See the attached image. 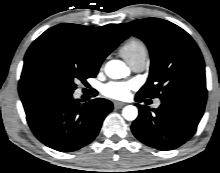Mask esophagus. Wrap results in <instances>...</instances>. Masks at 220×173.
Instances as JSON below:
<instances>
[{
	"label": "esophagus",
	"instance_id": "obj_1",
	"mask_svg": "<svg viewBox=\"0 0 220 173\" xmlns=\"http://www.w3.org/2000/svg\"><path fill=\"white\" fill-rule=\"evenodd\" d=\"M124 105H125V103H123V102H119V101H115V102H114V108H115V109H120V108H122Z\"/></svg>",
	"mask_w": 220,
	"mask_h": 173
}]
</instances>
